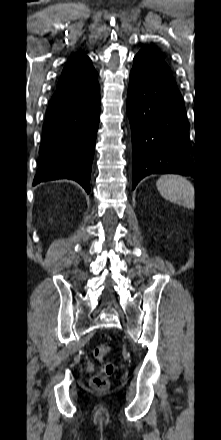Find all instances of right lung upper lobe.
Returning <instances> with one entry per match:
<instances>
[{
	"instance_id": "obj_1",
	"label": "right lung upper lobe",
	"mask_w": 221,
	"mask_h": 440,
	"mask_svg": "<svg viewBox=\"0 0 221 440\" xmlns=\"http://www.w3.org/2000/svg\"><path fill=\"white\" fill-rule=\"evenodd\" d=\"M97 78L91 60L85 55H77L64 67L56 89L85 85Z\"/></svg>"
}]
</instances>
